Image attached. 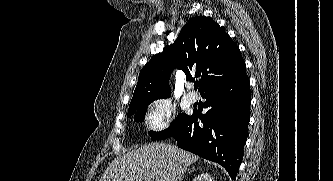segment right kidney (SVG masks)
I'll use <instances>...</instances> for the list:
<instances>
[{
    "label": "right kidney",
    "instance_id": "obj_1",
    "mask_svg": "<svg viewBox=\"0 0 333 181\" xmlns=\"http://www.w3.org/2000/svg\"><path fill=\"white\" fill-rule=\"evenodd\" d=\"M193 181H214L209 174H200Z\"/></svg>",
    "mask_w": 333,
    "mask_h": 181
}]
</instances>
